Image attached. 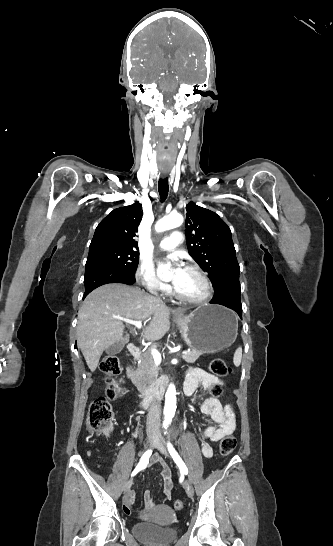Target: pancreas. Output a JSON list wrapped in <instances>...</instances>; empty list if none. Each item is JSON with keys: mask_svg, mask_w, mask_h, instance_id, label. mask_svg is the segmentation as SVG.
Here are the masks:
<instances>
[{"mask_svg": "<svg viewBox=\"0 0 333 546\" xmlns=\"http://www.w3.org/2000/svg\"><path fill=\"white\" fill-rule=\"evenodd\" d=\"M202 354L203 352L194 349L191 352L184 354L183 359L187 363H194ZM137 366L138 369L131 377V380L140 392H144L147 385L152 383L158 375L156 364L151 355V349H148L141 354L140 362Z\"/></svg>", "mask_w": 333, "mask_h": 546, "instance_id": "pancreas-1", "label": "pancreas"}]
</instances>
